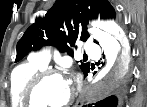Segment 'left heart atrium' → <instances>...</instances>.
<instances>
[{"label":"left heart atrium","instance_id":"1","mask_svg":"<svg viewBox=\"0 0 147 107\" xmlns=\"http://www.w3.org/2000/svg\"><path fill=\"white\" fill-rule=\"evenodd\" d=\"M67 85L71 88V80L70 79H65Z\"/></svg>","mask_w":147,"mask_h":107}]
</instances>
